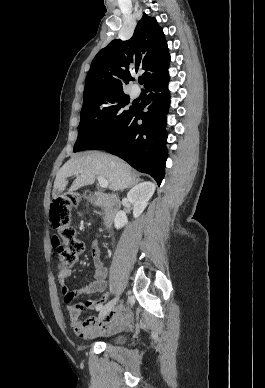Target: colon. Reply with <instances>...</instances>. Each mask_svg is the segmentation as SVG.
<instances>
[{"mask_svg": "<svg viewBox=\"0 0 265 388\" xmlns=\"http://www.w3.org/2000/svg\"><path fill=\"white\" fill-rule=\"evenodd\" d=\"M78 201L79 196L71 193L57 197L50 206V224L57 232L53 247L61 269L74 266L83 250V244L70 224L71 208Z\"/></svg>", "mask_w": 265, "mask_h": 388, "instance_id": "obj_1", "label": "colon"}]
</instances>
